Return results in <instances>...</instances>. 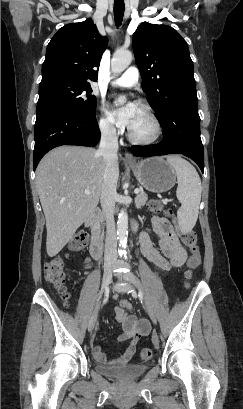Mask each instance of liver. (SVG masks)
Returning a JSON list of instances; mask_svg holds the SVG:
<instances>
[{
	"instance_id": "6515ba94",
	"label": "liver",
	"mask_w": 243,
	"mask_h": 409,
	"mask_svg": "<svg viewBox=\"0 0 243 409\" xmlns=\"http://www.w3.org/2000/svg\"><path fill=\"white\" fill-rule=\"evenodd\" d=\"M98 150L63 145L48 152L36 170V187L46 219V250L57 255L99 203L104 160ZM119 175V161H115ZM89 190V194L84 193Z\"/></svg>"
}]
</instances>
